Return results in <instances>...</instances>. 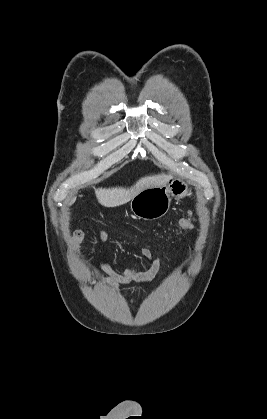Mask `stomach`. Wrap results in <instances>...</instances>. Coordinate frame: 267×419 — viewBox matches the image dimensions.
Segmentation results:
<instances>
[{
	"label": "stomach",
	"instance_id": "stomach-1",
	"mask_svg": "<svg viewBox=\"0 0 267 419\" xmlns=\"http://www.w3.org/2000/svg\"><path fill=\"white\" fill-rule=\"evenodd\" d=\"M191 194L189 184L177 177H169L157 187L142 190L131 199L130 208L133 214L145 220H155L163 217L171 205V197L177 200Z\"/></svg>",
	"mask_w": 267,
	"mask_h": 419
}]
</instances>
